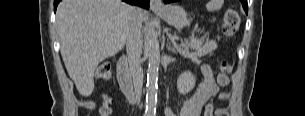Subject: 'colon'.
Here are the masks:
<instances>
[{
	"label": "colon",
	"mask_w": 305,
	"mask_h": 116,
	"mask_svg": "<svg viewBox=\"0 0 305 116\" xmlns=\"http://www.w3.org/2000/svg\"><path fill=\"white\" fill-rule=\"evenodd\" d=\"M240 25L239 14L232 9L225 11L223 16V33L227 37H232L238 30ZM232 72V65L226 61L221 62L219 66V73L217 75V83L224 87L229 83V75ZM96 78L108 79L111 76V66L107 62L100 63L96 68ZM102 116H109L111 114L110 98L105 97L100 109Z\"/></svg>",
	"instance_id": "5ec220e1"
}]
</instances>
